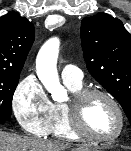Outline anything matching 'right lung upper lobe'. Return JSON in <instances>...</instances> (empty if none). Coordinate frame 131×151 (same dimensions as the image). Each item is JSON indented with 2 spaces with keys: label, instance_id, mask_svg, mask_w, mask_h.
<instances>
[{
  "label": "right lung upper lobe",
  "instance_id": "1",
  "mask_svg": "<svg viewBox=\"0 0 131 151\" xmlns=\"http://www.w3.org/2000/svg\"><path fill=\"white\" fill-rule=\"evenodd\" d=\"M33 23L15 12L0 18V73H20L34 42Z\"/></svg>",
  "mask_w": 131,
  "mask_h": 151
}]
</instances>
